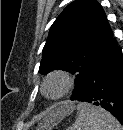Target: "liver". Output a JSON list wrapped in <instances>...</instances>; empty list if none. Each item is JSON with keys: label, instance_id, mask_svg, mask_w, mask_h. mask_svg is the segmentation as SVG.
Segmentation results:
<instances>
[{"label": "liver", "instance_id": "1", "mask_svg": "<svg viewBox=\"0 0 123 130\" xmlns=\"http://www.w3.org/2000/svg\"><path fill=\"white\" fill-rule=\"evenodd\" d=\"M49 119H50V117L46 118V119H45V122H47ZM40 128H43V127H40Z\"/></svg>", "mask_w": 123, "mask_h": 130}]
</instances>
